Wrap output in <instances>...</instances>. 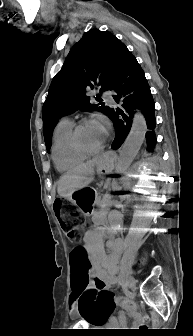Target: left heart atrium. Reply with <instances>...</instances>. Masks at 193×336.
<instances>
[{
    "label": "left heart atrium",
    "mask_w": 193,
    "mask_h": 336,
    "mask_svg": "<svg viewBox=\"0 0 193 336\" xmlns=\"http://www.w3.org/2000/svg\"><path fill=\"white\" fill-rule=\"evenodd\" d=\"M91 124L106 134V121L104 119L100 118L93 121Z\"/></svg>",
    "instance_id": "left-heart-atrium-1"
}]
</instances>
